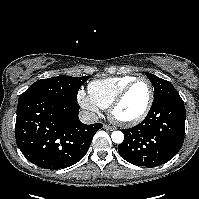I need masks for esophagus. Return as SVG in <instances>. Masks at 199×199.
Returning a JSON list of instances; mask_svg holds the SVG:
<instances>
[{
  "label": "esophagus",
  "instance_id": "1",
  "mask_svg": "<svg viewBox=\"0 0 199 199\" xmlns=\"http://www.w3.org/2000/svg\"><path fill=\"white\" fill-rule=\"evenodd\" d=\"M103 128L106 129V130H109V131H113L115 129L114 127L107 125V124H104Z\"/></svg>",
  "mask_w": 199,
  "mask_h": 199
}]
</instances>
